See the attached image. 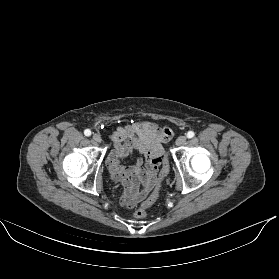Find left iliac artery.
<instances>
[{
  "label": "left iliac artery",
  "mask_w": 279,
  "mask_h": 279,
  "mask_svg": "<svg viewBox=\"0 0 279 279\" xmlns=\"http://www.w3.org/2000/svg\"><path fill=\"white\" fill-rule=\"evenodd\" d=\"M194 135H195V133L193 131H189L187 133V138H192V137H194Z\"/></svg>",
  "instance_id": "1"
}]
</instances>
